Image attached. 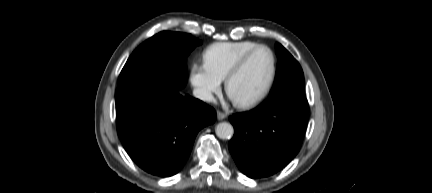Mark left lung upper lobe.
Segmentation results:
<instances>
[{
	"mask_svg": "<svg viewBox=\"0 0 432 193\" xmlns=\"http://www.w3.org/2000/svg\"><path fill=\"white\" fill-rule=\"evenodd\" d=\"M276 54L278 57L277 74L270 97L305 98L304 76L300 64L278 43L276 44Z\"/></svg>",
	"mask_w": 432,
	"mask_h": 193,
	"instance_id": "1",
	"label": "left lung upper lobe"
}]
</instances>
